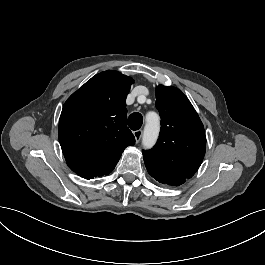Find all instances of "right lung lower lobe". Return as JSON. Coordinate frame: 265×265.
Listing matches in <instances>:
<instances>
[{
	"label": "right lung lower lobe",
	"mask_w": 265,
	"mask_h": 265,
	"mask_svg": "<svg viewBox=\"0 0 265 265\" xmlns=\"http://www.w3.org/2000/svg\"><path fill=\"white\" fill-rule=\"evenodd\" d=\"M81 177L85 178V179H93L95 176L89 175V174H78Z\"/></svg>",
	"instance_id": "right-lung-lower-lobe-1"
}]
</instances>
